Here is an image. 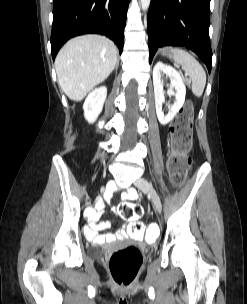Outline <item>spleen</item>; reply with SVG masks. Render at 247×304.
<instances>
[{"label":"spleen","instance_id":"3e777b00","mask_svg":"<svg viewBox=\"0 0 247 304\" xmlns=\"http://www.w3.org/2000/svg\"><path fill=\"white\" fill-rule=\"evenodd\" d=\"M171 53L174 62L180 64L189 75L193 94L200 97L206 85V73L203 67L190 53L183 49L174 48Z\"/></svg>","mask_w":247,"mask_h":304}]
</instances>
